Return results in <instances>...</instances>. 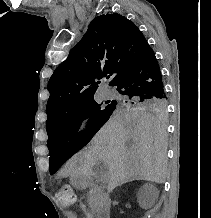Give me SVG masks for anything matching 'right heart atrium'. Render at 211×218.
<instances>
[{"label": "right heart atrium", "mask_w": 211, "mask_h": 218, "mask_svg": "<svg viewBox=\"0 0 211 218\" xmlns=\"http://www.w3.org/2000/svg\"><path fill=\"white\" fill-rule=\"evenodd\" d=\"M94 126V123L91 119H85L80 126L81 131L89 132Z\"/></svg>", "instance_id": "obj_1"}]
</instances>
